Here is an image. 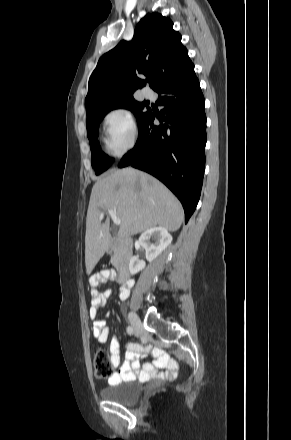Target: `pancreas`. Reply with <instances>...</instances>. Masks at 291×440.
Wrapping results in <instances>:
<instances>
[{
	"instance_id": "cf45deb5",
	"label": "pancreas",
	"mask_w": 291,
	"mask_h": 440,
	"mask_svg": "<svg viewBox=\"0 0 291 440\" xmlns=\"http://www.w3.org/2000/svg\"><path fill=\"white\" fill-rule=\"evenodd\" d=\"M110 251L113 252V255L111 257V263H112V265L116 266L118 264V261H119V251H120V248L117 245H112L110 247Z\"/></svg>"
}]
</instances>
